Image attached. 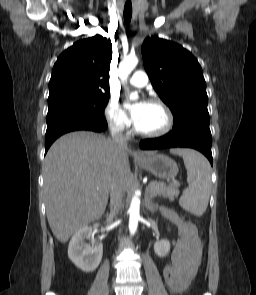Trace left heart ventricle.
Here are the masks:
<instances>
[{
  "label": "left heart ventricle",
  "mask_w": 256,
  "mask_h": 295,
  "mask_svg": "<svg viewBox=\"0 0 256 295\" xmlns=\"http://www.w3.org/2000/svg\"><path fill=\"white\" fill-rule=\"evenodd\" d=\"M165 123V115L163 111L151 104H147L144 114L136 127L141 131H155L162 128Z\"/></svg>",
  "instance_id": "1"
}]
</instances>
